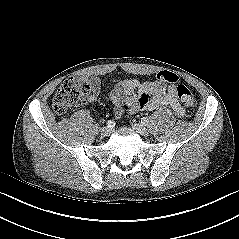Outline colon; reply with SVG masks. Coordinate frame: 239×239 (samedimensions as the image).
Instances as JSON below:
<instances>
[{
  "label": "colon",
  "instance_id": "obj_1",
  "mask_svg": "<svg viewBox=\"0 0 239 239\" xmlns=\"http://www.w3.org/2000/svg\"><path fill=\"white\" fill-rule=\"evenodd\" d=\"M157 79L176 85L177 97L183 105L188 107L195 106L196 99L194 94L186 85L179 83L177 74L170 71H161L157 74ZM87 95L88 91L85 85L73 78H67L60 84L53 97V110L56 114L63 115L69 109L85 103Z\"/></svg>",
  "mask_w": 239,
  "mask_h": 239
}]
</instances>
